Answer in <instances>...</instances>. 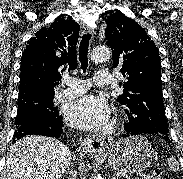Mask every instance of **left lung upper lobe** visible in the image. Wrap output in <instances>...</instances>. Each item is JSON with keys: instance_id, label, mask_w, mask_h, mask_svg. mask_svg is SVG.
<instances>
[{"instance_id": "obj_1", "label": "left lung upper lobe", "mask_w": 183, "mask_h": 179, "mask_svg": "<svg viewBox=\"0 0 183 179\" xmlns=\"http://www.w3.org/2000/svg\"><path fill=\"white\" fill-rule=\"evenodd\" d=\"M105 35L114 67L127 79L118 97V102L128 108L126 125L145 134L167 135L161 63L155 43L137 22L120 11L107 18Z\"/></svg>"}]
</instances>
